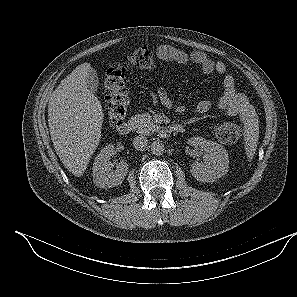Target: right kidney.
<instances>
[{
	"label": "right kidney",
	"mask_w": 297,
	"mask_h": 297,
	"mask_svg": "<svg viewBox=\"0 0 297 297\" xmlns=\"http://www.w3.org/2000/svg\"><path fill=\"white\" fill-rule=\"evenodd\" d=\"M116 153L112 144L105 146L95 158L93 164V181L99 187H114L123 182L128 172V164L121 161L116 169L113 170V164L110 157Z\"/></svg>",
	"instance_id": "ca27d5eb"
}]
</instances>
